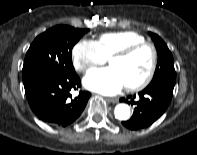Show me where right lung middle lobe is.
Here are the masks:
<instances>
[{
    "instance_id": "dd1d6c3e",
    "label": "right lung middle lobe",
    "mask_w": 197,
    "mask_h": 155,
    "mask_svg": "<svg viewBox=\"0 0 197 155\" xmlns=\"http://www.w3.org/2000/svg\"><path fill=\"white\" fill-rule=\"evenodd\" d=\"M88 31L58 25L36 37L26 53L23 65L25 92L46 80L74 73L72 48Z\"/></svg>"
}]
</instances>
